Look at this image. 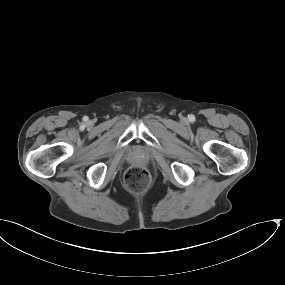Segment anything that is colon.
I'll return each instance as SVG.
<instances>
[{
	"mask_svg": "<svg viewBox=\"0 0 285 285\" xmlns=\"http://www.w3.org/2000/svg\"><path fill=\"white\" fill-rule=\"evenodd\" d=\"M150 182L151 177L149 172L141 166L130 168L124 176L126 188L133 193H142L146 191Z\"/></svg>",
	"mask_w": 285,
	"mask_h": 285,
	"instance_id": "5ec220e1",
	"label": "colon"
}]
</instances>
